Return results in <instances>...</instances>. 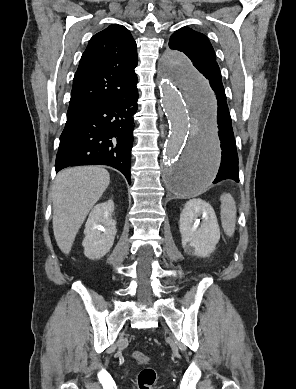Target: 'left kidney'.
<instances>
[{
    "label": "left kidney",
    "mask_w": 296,
    "mask_h": 389,
    "mask_svg": "<svg viewBox=\"0 0 296 389\" xmlns=\"http://www.w3.org/2000/svg\"><path fill=\"white\" fill-rule=\"evenodd\" d=\"M201 217L202 222L200 223ZM182 247L188 255L208 257L220 239V228L212 206L202 199L189 200L179 220Z\"/></svg>",
    "instance_id": "1"
}]
</instances>
